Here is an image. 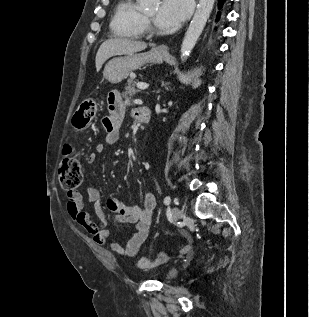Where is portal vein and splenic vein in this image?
Returning <instances> with one entry per match:
<instances>
[{
	"instance_id": "1",
	"label": "portal vein and splenic vein",
	"mask_w": 309,
	"mask_h": 317,
	"mask_svg": "<svg viewBox=\"0 0 309 317\" xmlns=\"http://www.w3.org/2000/svg\"><path fill=\"white\" fill-rule=\"evenodd\" d=\"M149 87V84L144 83V82H138L137 83V88H139L140 90H145Z\"/></svg>"
}]
</instances>
